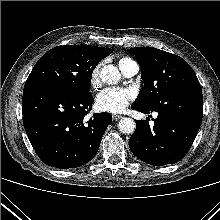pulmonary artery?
<instances>
[{
	"label": "pulmonary artery",
	"mask_w": 220,
	"mask_h": 220,
	"mask_svg": "<svg viewBox=\"0 0 220 220\" xmlns=\"http://www.w3.org/2000/svg\"><path fill=\"white\" fill-rule=\"evenodd\" d=\"M139 67L136 62H130L122 71L126 77H132L137 74Z\"/></svg>",
	"instance_id": "1"
}]
</instances>
